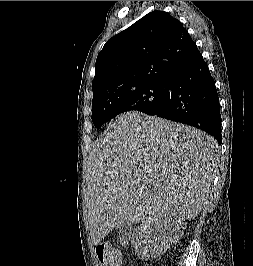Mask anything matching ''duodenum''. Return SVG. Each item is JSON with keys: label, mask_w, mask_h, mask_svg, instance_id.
<instances>
[{"label": "duodenum", "mask_w": 253, "mask_h": 266, "mask_svg": "<svg viewBox=\"0 0 253 266\" xmlns=\"http://www.w3.org/2000/svg\"><path fill=\"white\" fill-rule=\"evenodd\" d=\"M130 237V229H128L127 238Z\"/></svg>", "instance_id": "obj_1"}]
</instances>
